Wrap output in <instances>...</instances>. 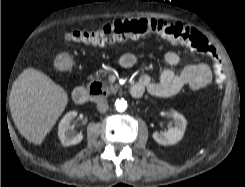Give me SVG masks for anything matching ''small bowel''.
<instances>
[{
	"label": "small bowel",
	"mask_w": 245,
	"mask_h": 187,
	"mask_svg": "<svg viewBox=\"0 0 245 187\" xmlns=\"http://www.w3.org/2000/svg\"><path fill=\"white\" fill-rule=\"evenodd\" d=\"M136 61L135 55L131 53H125L119 59L121 67L126 69L132 68ZM179 61L180 57L175 51L166 52L160 78L154 81L150 76L143 75L139 78L137 85L150 95L168 97L178 93L185 86L195 91L211 82L212 72L208 65H188L181 72L176 73L174 67Z\"/></svg>",
	"instance_id": "c3829d8e"
}]
</instances>
